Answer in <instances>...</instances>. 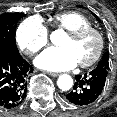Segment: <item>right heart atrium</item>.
<instances>
[{"mask_svg": "<svg viewBox=\"0 0 117 117\" xmlns=\"http://www.w3.org/2000/svg\"><path fill=\"white\" fill-rule=\"evenodd\" d=\"M49 32L39 17H29L22 21L16 30L19 48L32 57L48 43Z\"/></svg>", "mask_w": 117, "mask_h": 117, "instance_id": "right-heart-atrium-1", "label": "right heart atrium"}]
</instances>
